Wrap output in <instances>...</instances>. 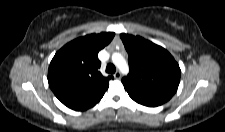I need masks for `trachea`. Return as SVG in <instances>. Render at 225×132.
Listing matches in <instances>:
<instances>
[{
    "mask_svg": "<svg viewBox=\"0 0 225 132\" xmlns=\"http://www.w3.org/2000/svg\"><path fill=\"white\" fill-rule=\"evenodd\" d=\"M115 71H116V67L113 64H108L107 65V68H106V72L107 73L113 74V73H115Z\"/></svg>",
    "mask_w": 225,
    "mask_h": 132,
    "instance_id": "trachea-1",
    "label": "trachea"
}]
</instances>
